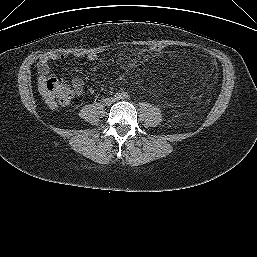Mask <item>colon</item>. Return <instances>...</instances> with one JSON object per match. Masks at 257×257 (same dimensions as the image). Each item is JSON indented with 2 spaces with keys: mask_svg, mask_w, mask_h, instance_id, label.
<instances>
[{
  "mask_svg": "<svg viewBox=\"0 0 257 257\" xmlns=\"http://www.w3.org/2000/svg\"><path fill=\"white\" fill-rule=\"evenodd\" d=\"M165 49L164 45L155 44L150 47V50L155 53H160ZM42 93L51 105L67 104L73 97V91L57 77L48 78L41 86Z\"/></svg>",
  "mask_w": 257,
  "mask_h": 257,
  "instance_id": "5ec220e1",
  "label": "colon"
}]
</instances>
